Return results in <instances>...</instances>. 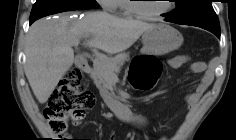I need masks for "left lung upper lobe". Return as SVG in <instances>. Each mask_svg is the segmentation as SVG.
I'll return each instance as SVG.
<instances>
[{
  "mask_svg": "<svg viewBox=\"0 0 236 140\" xmlns=\"http://www.w3.org/2000/svg\"><path fill=\"white\" fill-rule=\"evenodd\" d=\"M176 10L163 14L168 21L177 24L198 26L214 34H220L218 17L212 0H174Z\"/></svg>",
  "mask_w": 236,
  "mask_h": 140,
  "instance_id": "left-lung-upper-lobe-1",
  "label": "left lung upper lobe"
}]
</instances>
